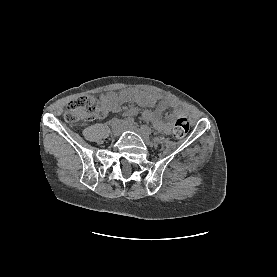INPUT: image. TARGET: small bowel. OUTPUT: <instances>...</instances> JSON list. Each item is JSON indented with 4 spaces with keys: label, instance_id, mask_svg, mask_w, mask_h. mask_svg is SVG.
Listing matches in <instances>:
<instances>
[{
    "label": "small bowel",
    "instance_id": "1",
    "mask_svg": "<svg viewBox=\"0 0 277 277\" xmlns=\"http://www.w3.org/2000/svg\"><path fill=\"white\" fill-rule=\"evenodd\" d=\"M158 105L154 110H144L141 112V116L152 122L154 127L163 132H169L176 117L175 112H167L173 107L172 101L167 98H161L158 93L154 91H142L137 89H130L120 94L106 93L101 97L102 103V116H105L111 112H118L123 103L134 102L142 106L152 107ZM139 113V109L136 106H132L126 110L124 116H134Z\"/></svg>",
    "mask_w": 277,
    "mask_h": 277
}]
</instances>
